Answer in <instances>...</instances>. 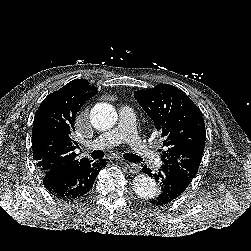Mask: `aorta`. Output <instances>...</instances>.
Returning a JSON list of instances; mask_svg holds the SVG:
<instances>
[{
    "mask_svg": "<svg viewBox=\"0 0 251 251\" xmlns=\"http://www.w3.org/2000/svg\"><path fill=\"white\" fill-rule=\"evenodd\" d=\"M90 119L96 129L105 131L116 124L118 114L112 105L108 103H98L91 110ZM133 185V190L141 198H153L159 193L157 182L149 176H137Z\"/></svg>",
    "mask_w": 251,
    "mask_h": 251,
    "instance_id": "762f6f07",
    "label": "aorta"
}]
</instances>
